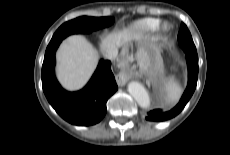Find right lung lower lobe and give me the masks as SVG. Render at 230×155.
Segmentation results:
<instances>
[{
    "label": "right lung lower lobe",
    "mask_w": 230,
    "mask_h": 155,
    "mask_svg": "<svg viewBox=\"0 0 230 155\" xmlns=\"http://www.w3.org/2000/svg\"><path fill=\"white\" fill-rule=\"evenodd\" d=\"M61 41L48 45L42 65L44 94L66 121L74 125L89 126L102 120L106 102L118 89L111 71V62L101 60L88 84L78 92L65 91L54 74L55 52Z\"/></svg>",
    "instance_id": "right-lung-lower-lobe-1"
}]
</instances>
